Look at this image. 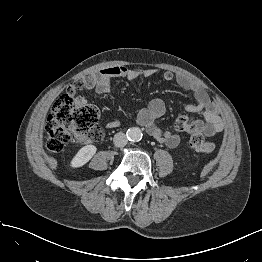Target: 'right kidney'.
<instances>
[{"label":"right kidney","mask_w":262,"mask_h":262,"mask_svg":"<svg viewBox=\"0 0 262 262\" xmlns=\"http://www.w3.org/2000/svg\"><path fill=\"white\" fill-rule=\"evenodd\" d=\"M97 148L94 145H87L82 147L73 157L70 166L72 168H79L85 165L96 153Z\"/></svg>","instance_id":"obj_1"}]
</instances>
